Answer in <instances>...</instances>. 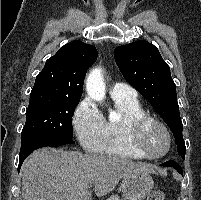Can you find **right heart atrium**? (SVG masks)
Returning a JSON list of instances; mask_svg holds the SVG:
<instances>
[{"mask_svg": "<svg viewBox=\"0 0 201 200\" xmlns=\"http://www.w3.org/2000/svg\"><path fill=\"white\" fill-rule=\"evenodd\" d=\"M103 117L89 99L76 108L72 124L81 145L88 151L97 152L102 145Z\"/></svg>", "mask_w": 201, "mask_h": 200, "instance_id": "obj_1", "label": "right heart atrium"}]
</instances>
